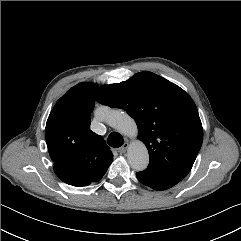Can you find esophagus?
Returning <instances> with one entry per match:
<instances>
[{"mask_svg":"<svg viewBox=\"0 0 241 241\" xmlns=\"http://www.w3.org/2000/svg\"><path fill=\"white\" fill-rule=\"evenodd\" d=\"M128 147H129V143H128V141H126V142L123 144V146L118 149V152H119V153H125L126 150L128 149Z\"/></svg>","mask_w":241,"mask_h":241,"instance_id":"34e87169","label":"esophagus"}]
</instances>
